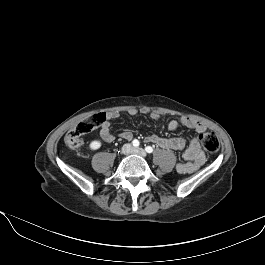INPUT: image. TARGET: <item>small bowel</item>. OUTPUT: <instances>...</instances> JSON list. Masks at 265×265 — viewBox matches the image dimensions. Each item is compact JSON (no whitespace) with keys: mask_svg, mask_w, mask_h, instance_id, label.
<instances>
[{"mask_svg":"<svg viewBox=\"0 0 265 265\" xmlns=\"http://www.w3.org/2000/svg\"><path fill=\"white\" fill-rule=\"evenodd\" d=\"M140 112L142 114H148L153 120H158L160 118L159 113L150 111L147 108H142ZM128 114L133 117L137 114V110L130 109ZM106 117L107 119H115L119 117V113L110 112L106 115ZM179 126L193 129L198 134H201L206 130V126L202 122L185 116L181 117L179 120H172L169 122L168 129L176 130ZM100 135L106 142L114 141L115 136L111 132L110 123L108 121H105L102 124L100 128ZM118 136L124 140H131L133 138V134L130 131H123ZM147 141L164 149L183 151V158L185 162H180L176 165V169L179 173H193L197 171L205 161V153L200 146L198 136L192 138L187 147L185 140L181 137H162L152 134L147 137Z\"/></svg>","mask_w":265,"mask_h":265,"instance_id":"small-bowel-1","label":"small bowel"}]
</instances>
